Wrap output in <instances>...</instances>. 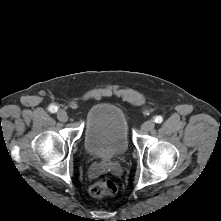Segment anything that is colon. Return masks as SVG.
<instances>
[{
  "instance_id": "obj_1",
  "label": "colon",
  "mask_w": 221,
  "mask_h": 221,
  "mask_svg": "<svg viewBox=\"0 0 221 221\" xmlns=\"http://www.w3.org/2000/svg\"><path fill=\"white\" fill-rule=\"evenodd\" d=\"M117 191L116 184L109 179H101L93 183L89 192L94 197H106L115 194Z\"/></svg>"
}]
</instances>
